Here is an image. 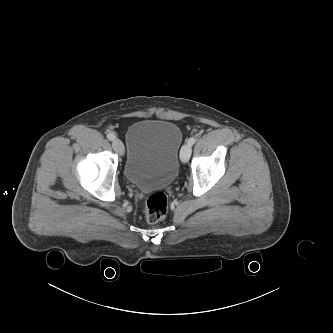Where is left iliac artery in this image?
<instances>
[{"instance_id": "left-iliac-artery-1", "label": "left iliac artery", "mask_w": 333, "mask_h": 333, "mask_svg": "<svg viewBox=\"0 0 333 333\" xmlns=\"http://www.w3.org/2000/svg\"><path fill=\"white\" fill-rule=\"evenodd\" d=\"M196 139L195 137H191L189 140H188V144H190L191 146L195 143Z\"/></svg>"}]
</instances>
